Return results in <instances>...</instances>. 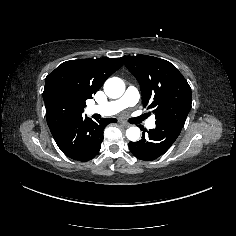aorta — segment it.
<instances>
[{
  "label": "aorta",
  "instance_id": "762f6f07",
  "mask_svg": "<svg viewBox=\"0 0 236 236\" xmlns=\"http://www.w3.org/2000/svg\"><path fill=\"white\" fill-rule=\"evenodd\" d=\"M104 91L109 98H119L125 91L124 82L117 77L109 78L104 84ZM140 134L141 131L136 126H132L126 130V137L133 142L139 140Z\"/></svg>",
  "mask_w": 236,
  "mask_h": 236
}]
</instances>
